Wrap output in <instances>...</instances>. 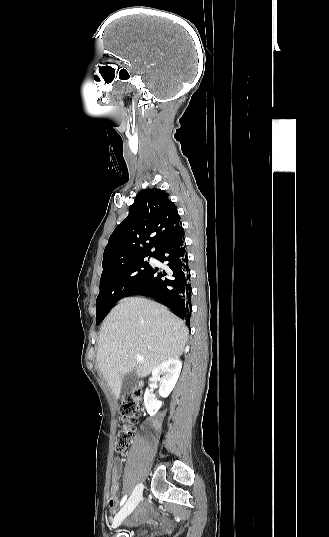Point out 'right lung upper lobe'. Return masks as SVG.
Returning <instances> with one entry per match:
<instances>
[{
	"mask_svg": "<svg viewBox=\"0 0 329 537\" xmlns=\"http://www.w3.org/2000/svg\"><path fill=\"white\" fill-rule=\"evenodd\" d=\"M183 228L175 204L160 189L140 191L129 215L113 231L104 250L102 267L118 266L153 256Z\"/></svg>",
	"mask_w": 329,
	"mask_h": 537,
	"instance_id": "1",
	"label": "right lung upper lobe"
}]
</instances>
